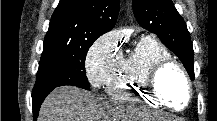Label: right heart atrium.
Here are the masks:
<instances>
[{
  "instance_id": "1",
  "label": "right heart atrium",
  "mask_w": 217,
  "mask_h": 121,
  "mask_svg": "<svg viewBox=\"0 0 217 121\" xmlns=\"http://www.w3.org/2000/svg\"><path fill=\"white\" fill-rule=\"evenodd\" d=\"M119 59L117 38L112 33H106L98 38L90 48L85 61L90 84L95 88L106 84Z\"/></svg>"
}]
</instances>
